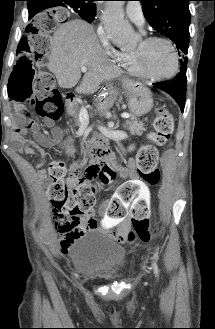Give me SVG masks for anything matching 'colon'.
I'll use <instances>...</instances> for the list:
<instances>
[{
  "label": "colon",
  "mask_w": 215,
  "mask_h": 329,
  "mask_svg": "<svg viewBox=\"0 0 215 329\" xmlns=\"http://www.w3.org/2000/svg\"><path fill=\"white\" fill-rule=\"evenodd\" d=\"M70 20V14L52 11L49 14H33L30 25H26V37L19 38L20 55L13 56V66L10 68L11 73L25 74H13V81H9V86L5 87L8 99L11 103H17L18 109L32 107L40 117L50 120L60 117L61 95L45 64L48 60V38H53V32H58L59 26H65V21ZM173 129L172 114L166 108H158L154 131L148 136L150 144L141 147L136 155L137 170L149 186L155 187L160 181L157 147L169 140ZM48 172L51 179L48 197L53 203V210L60 217V223L86 217L94 206L97 191L110 186L116 175L115 170L107 164L93 165L84 172L74 171L76 182L71 183L69 176L66 177L65 164L59 160L50 164ZM93 180L98 185L93 184ZM147 201L150 204V199ZM131 220L132 230L128 232L130 239L137 237L147 242L157 234L156 228H149V218Z\"/></svg>",
  "instance_id": "1"
}]
</instances>
